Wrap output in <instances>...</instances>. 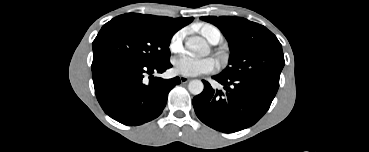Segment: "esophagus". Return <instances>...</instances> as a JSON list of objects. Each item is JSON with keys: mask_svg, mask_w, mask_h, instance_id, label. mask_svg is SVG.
Returning a JSON list of instances; mask_svg holds the SVG:
<instances>
[{"mask_svg": "<svg viewBox=\"0 0 369 152\" xmlns=\"http://www.w3.org/2000/svg\"><path fill=\"white\" fill-rule=\"evenodd\" d=\"M190 79L186 76H180L181 83H187Z\"/></svg>", "mask_w": 369, "mask_h": 152, "instance_id": "esophagus-1", "label": "esophagus"}]
</instances>
